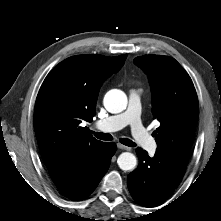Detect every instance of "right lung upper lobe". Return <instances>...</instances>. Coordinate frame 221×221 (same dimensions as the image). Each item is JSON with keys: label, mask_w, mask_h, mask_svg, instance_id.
Wrapping results in <instances>:
<instances>
[{"label": "right lung upper lobe", "mask_w": 221, "mask_h": 221, "mask_svg": "<svg viewBox=\"0 0 221 221\" xmlns=\"http://www.w3.org/2000/svg\"><path fill=\"white\" fill-rule=\"evenodd\" d=\"M126 57L72 56L45 78L35 103L34 128L48 169L101 147L103 142L80 124L93 120L101 84L123 66Z\"/></svg>", "instance_id": "right-lung-upper-lobe-1"}]
</instances>
